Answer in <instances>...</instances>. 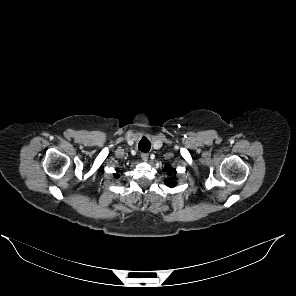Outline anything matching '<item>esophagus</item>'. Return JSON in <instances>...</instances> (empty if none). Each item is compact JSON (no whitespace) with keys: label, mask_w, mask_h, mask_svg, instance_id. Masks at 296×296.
Listing matches in <instances>:
<instances>
[{"label":"esophagus","mask_w":296,"mask_h":296,"mask_svg":"<svg viewBox=\"0 0 296 296\" xmlns=\"http://www.w3.org/2000/svg\"><path fill=\"white\" fill-rule=\"evenodd\" d=\"M141 158L144 162H147L148 161V158H149V154L148 153H142L141 154Z\"/></svg>","instance_id":"obj_1"}]
</instances>
